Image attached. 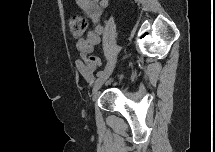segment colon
I'll use <instances>...</instances> for the list:
<instances>
[{"label": "colon", "mask_w": 215, "mask_h": 152, "mask_svg": "<svg viewBox=\"0 0 215 152\" xmlns=\"http://www.w3.org/2000/svg\"><path fill=\"white\" fill-rule=\"evenodd\" d=\"M87 27V20L83 16H71L69 18V30L74 37L81 36ZM86 70L92 74L100 65V59L92 54H89L85 58Z\"/></svg>", "instance_id": "obj_1"}]
</instances>
